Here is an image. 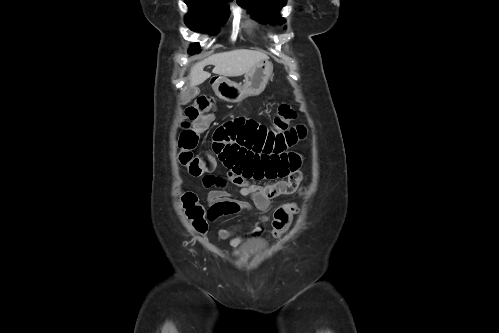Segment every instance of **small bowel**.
<instances>
[{"instance_id":"1","label":"small bowel","mask_w":499,"mask_h":333,"mask_svg":"<svg viewBox=\"0 0 499 333\" xmlns=\"http://www.w3.org/2000/svg\"><path fill=\"white\" fill-rule=\"evenodd\" d=\"M302 125L291 126L277 133L252 119L236 118L225 122L213 135L210 156L218 158L227 169L226 176L209 174L203 178V186L214 187L207 196L208 217L214 221L221 217L232 218L241 211H259L254 229L250 233L234 235V228H219L220 239L230 240L232 246L257 238L263 225L269 221L271 201L282 195L295 193L302 182L301 156L291 150L305 137ZM281 179L275 183L263 180ZM231 183L241 197L251 199L252 204L228 192Z\"/></svg>"}]
</instances>
